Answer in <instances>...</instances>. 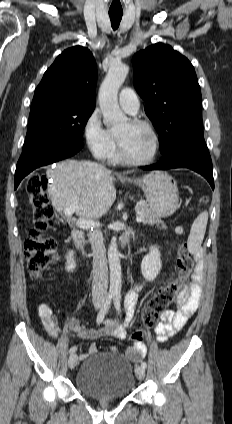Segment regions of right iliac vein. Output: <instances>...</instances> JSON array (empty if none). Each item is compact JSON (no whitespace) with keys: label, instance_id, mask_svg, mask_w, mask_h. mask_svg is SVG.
<instances>
[{"label":"right iliac vein","instance_id":"obj_1","mask_svg":"<svg viewBox=\"0 0 232 424\" xmlns=\"http://www.w3.org/2000/svg\"><path fill=\"white\" fill-rule=\"evenodd\" d=\"M101 308V304L96 305V309L99 310ZM78 362V356L77 354L73 353L70 355L68 360V365L70 369H74Z\"/></svg>","mask_w":232,"mask_h":424}]
</instances>
